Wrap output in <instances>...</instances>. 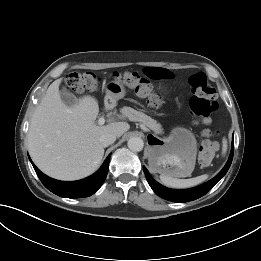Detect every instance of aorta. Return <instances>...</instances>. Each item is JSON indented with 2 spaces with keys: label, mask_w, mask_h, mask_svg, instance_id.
I'll list each match as a JSON object with an SVG mask.
<instances>
[{
  "label": "aorta",
  "mask_w": 261,
  "mask_h": 261,
  "mask_svg": "<svg viewBox=\"0 0 261 261\" xmlns=\"http://www.w3.org/2000/svg\"><path fill=\"white\" fill-rule=\"evenodd\" d=\"M128 148L134 152H140L142 151L143 147H144V142L141 138L139 137H131L128 140Z\"/></svg>",
  "instance_id": "obj_1"
}]
</instances>
